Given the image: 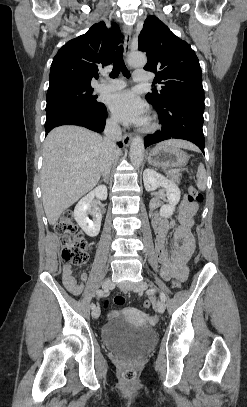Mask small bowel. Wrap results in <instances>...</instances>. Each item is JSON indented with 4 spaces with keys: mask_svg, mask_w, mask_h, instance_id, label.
Returning a JSON list of instances; mask_svg holds the SVG:
<instances>
[{
    "mask_svg": "<svg viewBox=\"0 0 247 407\" xmlns=\"http://www.w3.org/2000/svg\"><path fill=\"white\" fill-rule=\"evenodd\" d=\"M197 211V205L184 198L177 210V221L165 218L159 212H155L152 216L157 255L162 266V276L167 280L176 278L184 281L188 276V263L195 251V239L191 228ZM173 228L175 247L173 252L169 253L167 237ZM62 277L66 288L73 294H80L87 280V274L82 273L81 281L77 282L69 264L63 266Z\"/></svg>",
    "mask_w": 247,
    "mask_h": 407,
    "instance_id": "obj_1",
    "label": "small bowel"
}]
</instances>
